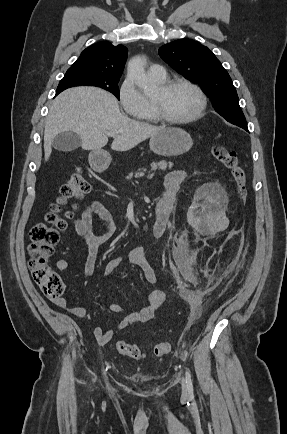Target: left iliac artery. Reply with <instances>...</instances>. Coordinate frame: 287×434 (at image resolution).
I'll return each instance as SVG.
<instances>
[{
	"mask_svg": "<svg viewBox=\"0 0 287 434\" xmlns=\"http://www.w3.org/2000/svg\"><path fill=\"white\" fill-rule=\"evenodd\" d=\"M186 383H187V388H188V392L190 395L193 394V385H192V380H191V374L189 373L188 370H186Z\"/></svg>",
	"mask_w": 287,
	"mask_h": 434,
	"instance_id": "44dca946",
	"label": "left iliac artery"
}]
</instances>
